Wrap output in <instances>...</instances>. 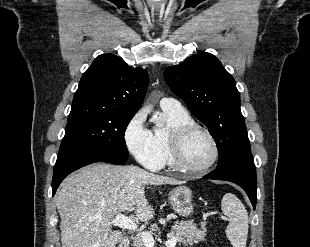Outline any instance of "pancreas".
<instances>
[{"mask_svg":"<svg viewBox=\"0 0 310 247\" xmlns=\"http://www.w3.org/2000/svg\"><path fill=\"white\" fill-rule=\"evenodd\" d=\"M155 231H159L156 224H152L149 227V233L153 234ZM169 236H175L179 245L191 246L200 241H206V228L198 229L193 221L176 222L169 233ZM133 247H145L139 236L133 239Z\"/></svg>","mask_w":310,"mask_h":247,"instance_id":"pancreas-1","label":"pancreas"}]
</instances>
